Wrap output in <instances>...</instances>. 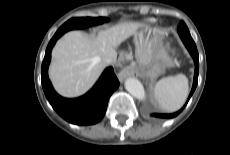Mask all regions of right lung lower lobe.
<instances>
[{
	"label": "right lung lower lobe",
	"instance_id": "1",
	"mask_svg": "<svg viewBox=\"0 0 230 155\" xmlns=\"http://www.w3.org/2000/svg\"><path fill=\"white\" fill-rule=\"evenodd\" d=\"M61 36V34L55 33L50 40L42 63L41 77L45 96L53 109L66 121L77 125L95 124L103 118L108 100L118 88L119 81L113 68L109 67L85 95L75 99H66L59 96L49 81L48 66L51 59V50Z\"/></svg>",
	"mask_w": 230,
	"mask_h": 155
}]
</instances>
